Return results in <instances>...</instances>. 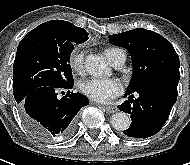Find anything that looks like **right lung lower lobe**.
I'll return each instance as SVG.
<instances>
[{
    "instance_id": "right-lung-lower-lobe-1",
    "label": "right lung lower lobe",
    "mask_w": 190,
    "mask_h": 165,
    "mask_svg": "<svg viewBox=\"0 0 190 165\" xmlns=\"http://www.w3.org/2000/svg\"><path fill=\"white\" fill-rule=\"evenodd\" d=\"M66 86H43L30 92L19 104L21 118L29 131L39 140L54 141L58 137H69L74 130L78 111L89 104L87 97L70 93L58 99L59 89Z\"/></svg>"
}]
</instances>
